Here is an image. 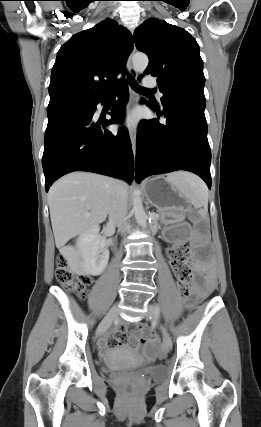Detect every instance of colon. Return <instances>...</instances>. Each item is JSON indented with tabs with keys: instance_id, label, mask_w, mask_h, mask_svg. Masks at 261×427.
<instances>
[{
	"instance_id": "obj_1",
	"label": "colon",
	"mask_w": 261,
	"mask_h": 427,
	"mask_svg": "<svg viewBox=\"0 0 261 427\" xmlns=\"http://www.w3.org/2000/svg\"><path fill=\"white\" fill-rule=\"evenodd\" d=\"M188 255V247L184 244L174 245L168 250L172 270L184 296L188 295L187 289L192 279V273L187 262ZM56 278L65 288L77 292L81 296L85 295L86 289L92 281L89 276L75 273L64 256H59L57 260ZM138 332L143 343L154 339L153 334L143 325H140ZM126 390L128 393H132L134 385L128 384Z\"/></svg>"
}]
</instances>
